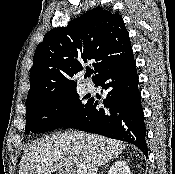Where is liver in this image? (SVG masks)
Listing matches in <instances>:
<instances>
[{"mask_svg": "<svg viewBox=\"0 0 175 174\" xmlns=\"http://www.w3.org/2000/svg\"><path fill=\"white\" fill-rule=\"evenodd\" d=\"M126 144L101 135L77 131L55 133L29 145L20 161L19 174H75L77 158L86 174L117 157Z\"/></svg>", "mask_w": 175, "mask_h": 174, "instance_id": "liver-1", "label": "liver"}]
</instances>
